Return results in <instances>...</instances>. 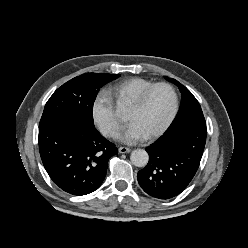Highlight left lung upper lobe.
I'll list each match as a JSON object with an SVG mask.
<instances>
[{
    "label": "left lung upper lobe",
    "mask_w": 248,
    "mask_h": 248,
    "mask_svg": "<svg viewBox=\"0 0 248 248\" xmlns=\"http://www.w3.org/2000/svg\"><path fill=\"white\" fill-rule=\"evenodd\" d=\"M165 78L173 82L179 87V90L182 94L181 96V107L177 114V117L174 119L171 126L168 128V131H172L176 128L186 126V125H194L200 127H206L205 118L201 109V106L197 99L193 96V94L181 83L177 80L166 77Z\"/></svg>",
    "instance_id": "1"
}]
</instances>
